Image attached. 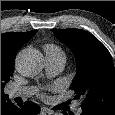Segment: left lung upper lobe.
<instances>
[{
  "label": "left lung upper lobe",
  "instance_id": "left-lung-upper-lobe-1",
  "mask_svg": "<svg viewBox=\"0 0 115 115\" xmlns=\"http://www.w3.org/2000/svg\"><path fill=\"white\" fill-rule=\"evenodd\" d=\"M53 32L75 55L77 73L70 88L75 98H84L82 110L94 115H115V69L107 48L81 29Z\"/></svg>",
  "mask_w": 115,
  "mask_h": 115
}]
</instances>
